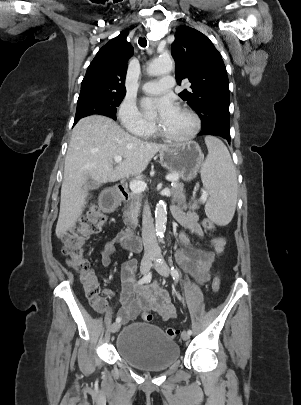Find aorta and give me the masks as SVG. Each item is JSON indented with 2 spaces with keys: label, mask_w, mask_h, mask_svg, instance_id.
I'll return each mask as SVG.
<instances>
[{
  "label": "aorta",
  "mask_w": 301,
  "mask_h": 405,
  "mask_svg": "<svg viewBox=\"0 0 301 405\" xmlns=\"http://www.w3.org/2000/svg\"><path fill=\"white\" fill-rule=\"evenodd\" d=\"M173 70V61L171 58H158L153 60L147 73L150 76L161 75L169 73ZM167 222V204L161 200L156 205L155 209V230L158 237L162 238L166 230Z\"/></svg>",
  "instance_id": "obj_1"
}]
</instances>
